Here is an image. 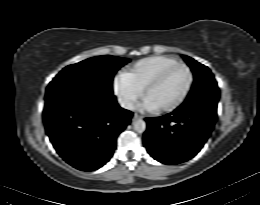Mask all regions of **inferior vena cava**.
<instances>
[{
    "mask_svg": "<svg viewBox=\"0 0 260 205\" xmlns=\"http://www.w3.org/2000/svg\"><path fill=\"white\" fill-rule=\"evenodd\" d=\"M118 102H119L120 106L122 108H124V109H128V110H133L134 109L133 103L130 100H128V99L119 98Z\"/></svg>",
    "mask_w": 260,
    "mask_h": 205,
    "instance_id": "inferior-vena-cava-1",
    "label": "inferior vena cava"
}]
</instances>
